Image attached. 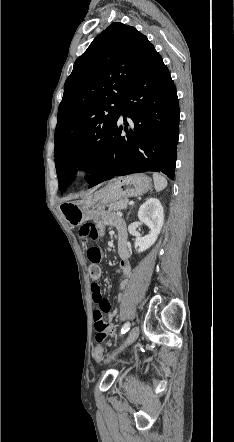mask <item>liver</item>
Masks as SVG:
<instances>
[{"mask_svg":"<svg viewBox=\"0 0 234 442\" xmlns=\"http://www.w3.org/2000/svg\"><path fill=\"white\" fill-rule=\"evenodd\" d=\"M95 189H97V187H95L93 190H91L90 192H93Z\"/></svg>","mask_w":234,"mask_h":442,"instance_id":"1","label":"liver"}]
</instances>
